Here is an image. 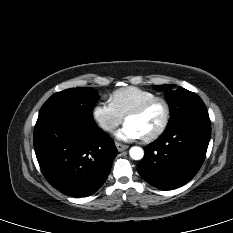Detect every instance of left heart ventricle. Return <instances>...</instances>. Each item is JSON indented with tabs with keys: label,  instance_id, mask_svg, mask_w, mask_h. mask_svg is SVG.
Segmentation results:
<instances>
[{
	"label": "left heart ventricle",
	"instance_id": "b2bd125f",
	"mask_svg": "<svg viewBox=\"0 0 233 233\" xmlns=\"http://www.w3.org/2000/svg\"><path fill=\"white\" fill-rule=\"evenodd\" d=\"M164 114V106L162 103L157 102L141 115L129 117L126 123L135 126L142 137H144L155 132L160 127L164 119Z\"/></svg>",
	"mask_w": 233,
	"mask_h": 233
}]
</instances>
